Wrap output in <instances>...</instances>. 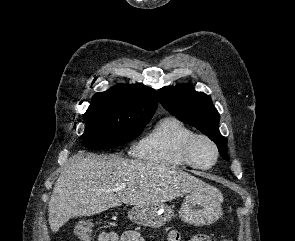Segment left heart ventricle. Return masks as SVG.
I'll use <instances>...</instances> for the list:
<instances>
[{
    "label": "left heart ventricle",
    "instance_id": "b2bd125f",
    "mask_svg": "<svg viewBox=\"0 0 295 241\" xmlns=\"http://www.w3.org/2000/svg\"><path fill=\"white\" fill-rule=\"evenodd\" d=\"M193 156L197 163L207 166L214 160V150L212 146L205 140H198L193 149Z\"/></svg>",
    "mask_w": 295,
    "mask_h": 241
}]
</instances>
